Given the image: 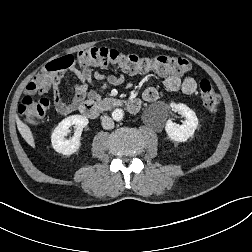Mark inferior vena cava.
Segmentation results:
<instances>
[{"label": "inferior vena cava", "instance_id": "1", "mask_svg": "<svg viewBox=\"0 0 252 252\" xmlns=\"http://www.w3.org/2000/svg\"><path fill=\"white\" fill-rule=\"evenodd\" d=\"M102 120V127L106 130L112 129L114 127V122L111 117L109 116H103L101 118Z\"/></svg>", "mask_w": 252, "mask_h": 252}]
</instances>
